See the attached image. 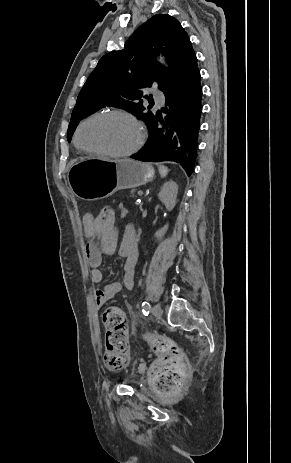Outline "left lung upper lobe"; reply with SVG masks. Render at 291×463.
<instances>
[{
	"label": "left lung upper lobe",
	"instance_id": "obj_1",
	"mask_svg": "<svg viewBox=\"0 0 291 463\" xmlns=\"http://www.w3.org/2000/svg\"><path fill=\"white\" fill-rule=\"evenodd\" d=\"M160 53L169 68L156 61L155 55ZM197 67L196 54L180 23L170 15H154L133 33L123 50L99 60L78 95L68 141L80 120L105 106L125 109L148 125L154 115L142 105V99L148 98L143 89L157 82L165 94Z\"/></svg>",
	"mask_w": 291,
	"mask_h": 463
}]
</instances>
